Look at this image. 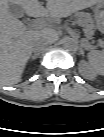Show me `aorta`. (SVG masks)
<instances>
[{
	"instance_id": "aorta-1",
	"label": "aorta",
	"mask_w": 104,
	"mask_h": 137,
	"mask_svg": "<svg viewBox=\"0 0 104 137\" xmlns=\"http://www.w3.org/2000/svg\"><path fill=\"white\" fill-rule=\"evenodd\" d=\"M62 47L69 52L76 51L78 49V42L74 38L64 37L61 41Z\"/></svg>"
}]
</instances>
